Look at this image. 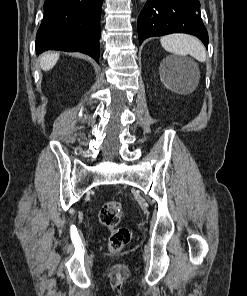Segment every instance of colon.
I'll return each instance as SVG.
<instances>
[{
  "label": "colon",
  "instance_id": "obj_1",
  "mask_svg": "<svg viewBox=\"0 0 247 296\" xmlns=\"http://www.w3.org/2000/svg\"><path fill=\"white\" fill-rule=\"evenodd\" d=\"M121 212L122 203L119 201L106 202L99 211L101 223L110 232L108 246L111 252L122 250L130 242V230L127 227L119 226Z\"/></svg>",
  "mask_w": 247,
  "mask_h": 296
}]
</instances>
